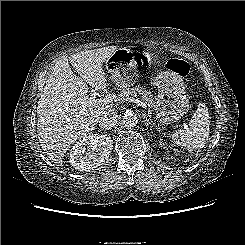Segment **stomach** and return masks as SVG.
Here are the masks:
<instances>
[{
	"label": "stomach",
	"instance_id": "stomach-1",
	"mask_svg": "<svg viewBox=\"0 0 245 245\" xmlns=\"http://www.w3.org/2000/svg\"><path fill=\"white\" fill-rule=\"evenodd\" d=\"M152 58L149 52L119 48L106 60L105 66L110 80L117 87L127 88L138 79L137 67L152 62ZM153 84L158 89L155 109L159 121L168 124L182 118L189 109L182 77L175 72L162 71L153 77Z\"/></svg>",
	"mask_w": 245,
	"mask_h": 245
}]
</instances>
